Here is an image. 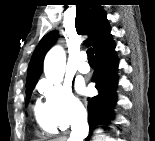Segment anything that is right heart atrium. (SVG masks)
<instances>
[{
	"mask_svg": "<svg viewBox=\"0 0 155 141\" xmlns=\"http://www.w3.org/2000/svg\"><path fill=\"white\" fill-rule=\"evenodd\" d=\"M40 90L45 97L49 115L57 127L65 130L83 121L85 108L69 84L43 82Z\"/></svg>",
	"mask_w": 155,
	"mask_h": 141,
	"instance_id": "1",
	"label": "right heart atrium"
}]
</instances>
